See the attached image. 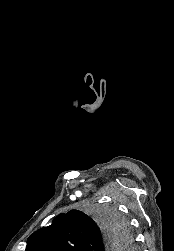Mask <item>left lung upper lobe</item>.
<instances>
[{
    "label": "left lung upper lobe",
    "mask_w": 174,
    "mask_h": 251,
    "mask_svg": "<svg viewBox=\"0 0 174 251\" xmlns=\"http://www.w3.org/2000/svg\"><path fill=\"white\" fill-rule=\"evenodd\" d=\"M131 243L129 225L114 212L97 210L91 218L71 210L34 232L25 251H118Z\"/></svg>",
    "instance_id": "obj_1"
}]
</instances>
